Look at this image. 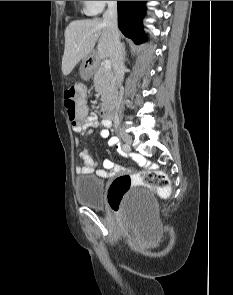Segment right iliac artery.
<instances>
[{
  "label": "right iliac artery",
  "instance_id": "right-iliac-artery-1",
  "mask_svg": "<svg viewBox=\"0 0 233 295\" xmlns=\"http://www.w3.org/2000/svg\"><path fill=\"white\" fill-rule=\"evenodd\" d=\"M127 144L123 145V150H126Z\"/></svg>",
  "mask_w": 233,
  "mask_h": 295
}]
</instances>
